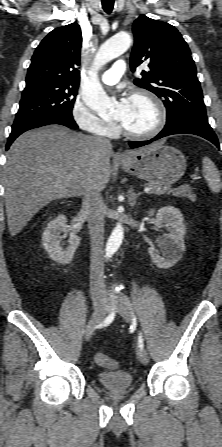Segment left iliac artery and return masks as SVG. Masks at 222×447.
<instances>
[{"mask_svg": "<svg viewBox=\"0 0 222 447\" xmlns=\"http://www.w3.org/2000/svg\"><path fill=\"white\" fill-rule=\"evenodd\" d=\"M139 344H140L141 346H143V339H142V336H141V335L139 336Z\"/></svg>", "mask_w": 222, "mask_h": 447, "instance_id": "44dca946", "label": "left iliac artery"}]
</instances>
